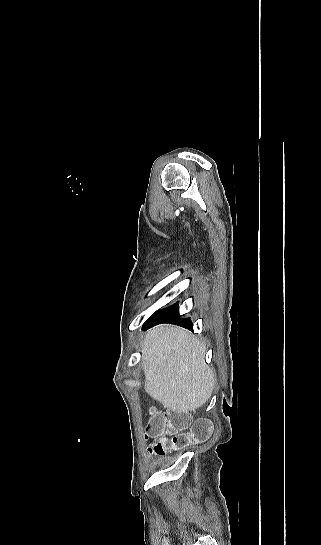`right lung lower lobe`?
Listing matches in <instances>:
<instances>
[{"label":"right lung lower lobe","instance_id":"obj_1","mask_svg":"<svg viewBox=\"0 0 321 545\" xmlns=\"http://www.w3.org/2000/svg\"><path fill=\"white\" fill-rule=\"evenodd\" d=\"M178 305L174 304L166 309L156 312L151 318H149L145 325L144 329L154 326L159 323H176L182 325L185 328H192V322L189 318L179 319Z\"/></svg>","mask_w":321,"mask_h":545}]
</instances>
